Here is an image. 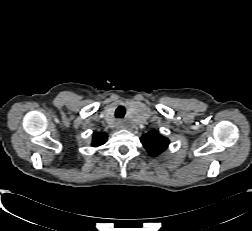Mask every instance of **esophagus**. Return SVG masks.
<instances>
[{"instance_id": "34e87169", "label": "esophagus", "mask_w": 252, "mask_h": 231, "mask_svg": "<svg viewBox=\"0 0 252 231\" xmlns=\"http://www.w3.org/2000/svg\"><path fill=\"white\" fill-rule=\"evenodd\" d=\"M115 127L117 129L123 128V122H122V120H117L116 123H115Z\"/></svg>"}]
</instances>
